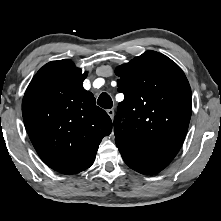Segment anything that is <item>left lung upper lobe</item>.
Returning <instances> with one entry per match:
<instances>
[{"label": "left lung upper lobe", "instance_id": "1", "mask_svg": "<svg viewBox=\"0 0 221 221\" xmlns=\"http://www.w3.org/2000/svg\"><path fill=\"white\" fill-rule=\"evenodd\" d=\"M115 73L124 100L115 116V142L144 157L171 162L182 146L192 112L189 82L165 55L146 51ZM126 118L121 129V118Z\"/></svg>", "mask_w": 221, "mask_h": 221}]
</instances>
